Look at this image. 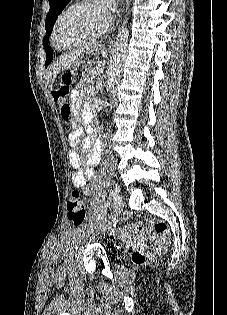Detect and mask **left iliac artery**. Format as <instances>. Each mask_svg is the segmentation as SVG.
<instances>
[{"label": "left iliac artery", "instance_id": "obj_1", "mask_svg": "<svg viewBox=\"0 0 227 315\" xmlns=\"http://www.w3.org/2000/svg\"><path fill=\"white\" fill-rule=\"evenodd\" d=\"M115 199H116V193L112 189L104 207L101 210V213L98 216V220L102 221L106 218L107 212L108 210H110L111 204L115 201Z\"/></svg>", "mask_w": 227, "mask_h": 315}]
</instances>
